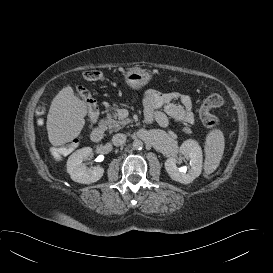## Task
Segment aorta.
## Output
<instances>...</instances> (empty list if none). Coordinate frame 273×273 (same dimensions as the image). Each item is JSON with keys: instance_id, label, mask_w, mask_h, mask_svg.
<instances>
[{"instance_id": "1", "label": "aorta", "mask_w": 273, "mask_h": 273, "mask_svg": "<svg viewBox=\"0 0 273 273\" xmlns=\"http://www.w3.org/2000/svg\"><path fill=\"white\" fill-rule=\"evenodd\" d=\"M132 146L134 149H141L143 147V142L140 139H136L133 141Z\"/></svg>"}]
</instances>
